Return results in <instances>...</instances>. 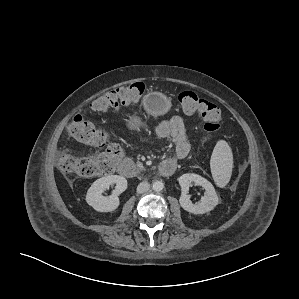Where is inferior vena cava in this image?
I'll list each match as a JSON object with an SVG mask.
<instances>
[{
	"label": "inferior vena cava",
	"instance_id": "1",
	"mask_svg": "<svg viewBox=\"0 0 299 299\" xmlns=\"http://www.w3.org/2000/svg\"><path fill=\"white\" fill-rule=\"evenodd\" d=\"M150 189V184L147 181H142L137 186V193L142 194L147 192Z\"/></svg>",
	"mask_w": 299,
	"mask_h": 299
}]
</instances>
